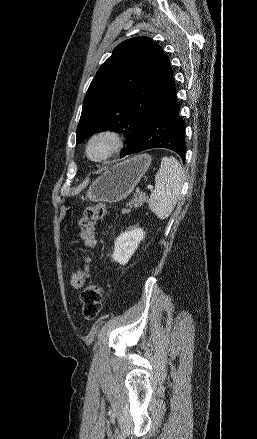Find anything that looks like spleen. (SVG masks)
<instances>
[{
  "label": "spleen",
  "instance_id": "1",
  "mask_svg": "<svg viewBox=\"0 0 257 439\" xmlns=\"http://www.w3.org/2000/svg\"><path fill=\"white\" fill-rule=\"evenodd\" d=\"M184 182V171L172 156L163 157L155 175V189L150 195L149 209L158 219L168 218L177 203Z\"/></svg>",
  "mask_w": 257,
  "mask_h": 439
}]
</instances>
